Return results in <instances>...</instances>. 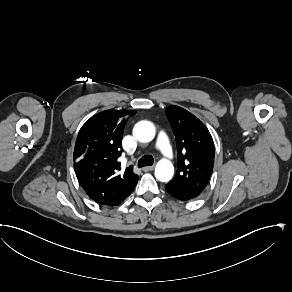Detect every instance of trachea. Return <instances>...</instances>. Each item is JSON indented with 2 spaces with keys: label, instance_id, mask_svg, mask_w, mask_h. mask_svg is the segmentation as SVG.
I'll list each match as a JSON object with an SVG mask.
<instances>
[{
  "label": "trachea",
  "instance_id": "3493384b",
  "mask_svg": "<svg viewBox=\"0 0 292 292\" xmlns=\"http://www.w3.org/2000/svg\"><path fill=\"white\" fill-rule=\"evenodd\" d=\"M154 163V158L151 155H144L138 161V167L151 166Z\"/></svg>",
  "mask_w": 292,
  "mask_h": 292
}]
</instances>
